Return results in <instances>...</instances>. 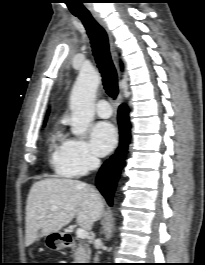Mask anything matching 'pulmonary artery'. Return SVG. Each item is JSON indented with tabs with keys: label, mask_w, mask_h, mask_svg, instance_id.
Wrapping results in <instances>:
<instances>
[{
	"label": "pulmonary artery",
	"mask_w": 205,
	"mask_h": 265,
	"mask_svg": "<svg viewBox=\"0 0 205 265\" xmlns=\"http://www.w3.org/2000/svg\"><path fill=\"white\" fill-rule=\"evenodd\" d=\"M95 110L98 116L101 118H108L112 114V109L109 102L104 99L97 102Z\"/></svg>",
	"instance_id": "1"
}]
</instances>
